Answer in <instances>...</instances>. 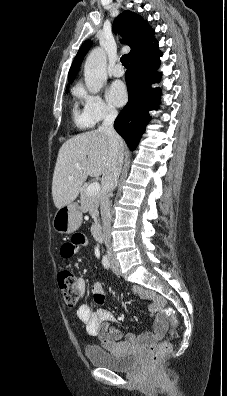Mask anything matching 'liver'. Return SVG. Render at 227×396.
Wrapping results in <instances>:
<instances>
[{
  "label": "liver",
  "instance_id": "1",
  "mask_svg": "<svg viewBox=\"0 0 227 396\" xmlns=\"http://www.w3.org/2000/svg\"><path fill=\"white\" fill-rule=\"evenodd\" d=\"M118 143L123 152V140L120 138ZM109 156V139L99 130L85 132L65 141L58 152L53 174L52 196L55 207L59 209L71 204L88 176H101Z\"/></svg>",
  "mask_w": 227,
  "mask_h": 396
}]
</instances>
